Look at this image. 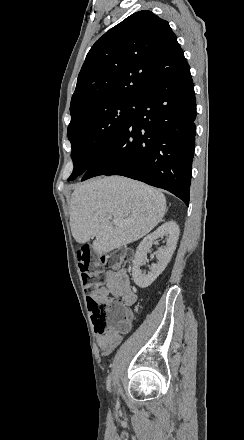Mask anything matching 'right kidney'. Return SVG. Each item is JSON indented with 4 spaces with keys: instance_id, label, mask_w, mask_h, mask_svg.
I'll list each match as a JSON object with an SVG mask.
<instances>
[{
    "instance_id": "1",
    "label": "right kidney",
    "mask_w": 244,
    "mask_h": 440,
    "mask_svg": "<svg viewBox=\"0 0 244 440\" xmlns=\"http://www.w3.org/2000/svg\"><path fill=\"white\" fill-rule=\"evenodd\" d=\"M179 234L180 230L176 222H166V224L159 226L156 232H153V234H149V236L143 238L136 250L135 260L132 268V276L136 286H139V288H148V286H151L152 282H155L159 274L164 272L168 262H170L176 250ZM163 236H167L168 240L166 248H158V264H152L150 272H148V274H143L140 268L141 266H144V262H146L147 252H149L153 242L158 240V238H163Z\"/></svg>"
}]
</instances>
